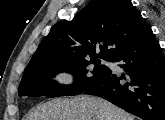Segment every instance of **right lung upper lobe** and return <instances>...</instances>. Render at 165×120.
Instances as JSON below:
<instances>
[{
	"label": "right lung upper lobe",
	"instance_id": "1",
	"mask_svg": "<svg viewBox=\"0 0 165 120\" xmlns=\"http://www.w3.org/2000/svg\"><path fill=\"white\" fill-rule=\"evenodd\" d=\"M152 34L130 0H93L72 20L52 26L28 65L62 59L112 61Z\"/></svg>",
	"mask_w": 165,
	"mask_h": 120
}]
</instances>
